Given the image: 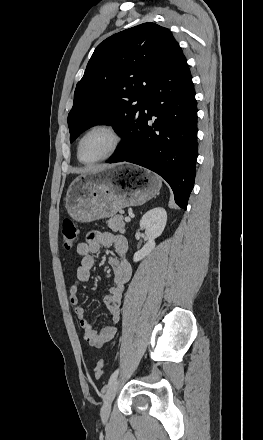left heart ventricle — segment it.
<instances>
[{"instance_id":"obj_1","label":"left heart ventricle","mask_w":263,"mask_h":440,"mask_svg":"<svg viewBox=\"0 0 263 440\" xmlns=\"http://www.w3.org/2000/svg\"><path fill=\"white\" fill-rule=\"evenodd\" d=\"M111 134L102 129L90 132L82 141L80 155L85 161H91L104 156L112 147Z\"/></svg>"}]
</instances>
